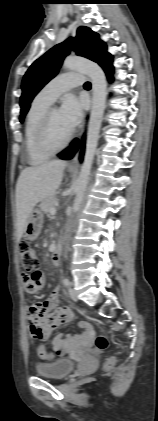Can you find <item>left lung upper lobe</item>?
<instances>
[{"label":"left lung upper lobe","mask_w":158,"mask_h":421,"mask_svg":"<svg viewBox=\"0 0 158 421\" xmlns=\"http://www.w3.org/2000/svg\"><path fill=\"white\" fill-rule=\"evenodd\" d=\"M71 49L77 55L100 63L109 53L106 44L99 39V35L88 27H79L76 37L60 43L37 59L26 72L22 81V96L20 98L22 122L30 103L40 89L50 81L60 68L63 59Z\"/></svg>","instance_id":"obj_1"}]
</instances>
